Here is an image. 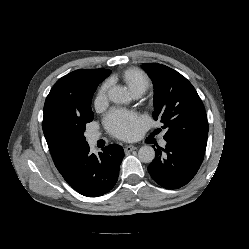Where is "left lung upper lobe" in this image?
<instances>
[{
  "label": "left lung upper lobe",
  "instance_id": "5c2ea615",
  "mask_svg": "<svg viewBox=\"0 0 249 249\" xmlns=\"http://www.w3.org/2000/svg\"><path fill=\"white\" fill-rule=\"evenodd\" d=\"M154 85L153 118L167 129V142L204 153L208 122L204 105L193 85L177 71L157 63H143Z\"/></svg>",
  "mask_w": 249,
  "mask_h": 249
}]
</instances>
